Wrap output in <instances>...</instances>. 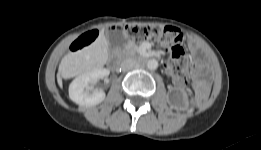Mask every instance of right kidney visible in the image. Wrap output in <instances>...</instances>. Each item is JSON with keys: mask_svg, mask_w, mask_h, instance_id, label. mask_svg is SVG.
<instances>
[{"mask_svg": "<svg viewBox=\"0 0 261 150\" xmlns=\"http://www.w3.org/2000/svg\"><path fill=\"white\" fill-rule=\"evenodd\" d=\"M110 71L105 68L85 72L76 77L69 86L70 99L80 106H95L105 99V92L98 90L89 91L90 83H96L100 79L108 77Z\"/></svg>", "mask_w": 261, "mask_h": 150, "instance_id": "obj_1", "label": "right kidney"}]
</instances>
